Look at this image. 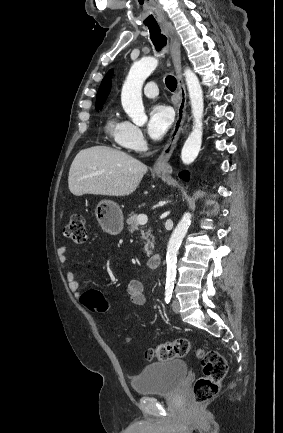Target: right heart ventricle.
<instances>
[{
    "label": "right heart ventricle",
    "instance_id": "e07e8e85",
    "mask_svg": "<svg viewBox=\"0 0 283 433\" xmlns=\"http://www.w3.org/2000/svg\"><path fill=\"white\" fill-rule=\"evenodd\" d=\"M123 122H120L115 113H111L107 116L105 120V131L111 135H117L118 132L122 129Z\"/></svg>",
    "mask_w": 283,
    "mask_h": 433
}]
</instances>
